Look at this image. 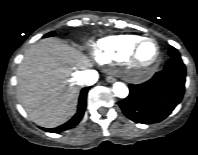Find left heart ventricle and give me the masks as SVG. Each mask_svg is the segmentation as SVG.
<instances>
[{"mask_svg":"<svg viewBox=\"0 0 198 155\" xmlns=\"http://www.w3.org/2000/svg\"><path fill=\"white\" fill-rule=\"evenodd\" d=\"M155 51V45L153 43L147 42L141 46L138 55L142 61H149L155 55Z\"/></svg>","mask_w":198,"mask_h":155,"instance_id":"b2bd125f","label":"left heart ventricle"}]
</instances>
